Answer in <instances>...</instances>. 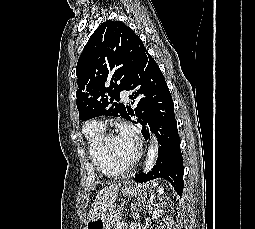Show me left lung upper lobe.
Listing matches in <instances>:
<instances>
[{
	"instance_id": "left-lung-upper-lobe-1",
	"label": "left lung upper lobe",
	"mask_w": 255,
	"mask_h": 229,
	"mask_svg": "<svg viewBox=\"0 0 255 229\" xmlns=\"http://www.w3.org/2000/svg\"><path fill=\"white\" fill-rule=\"evenodd\" d=\"M145 50L141 39L120 21L107 20L95 30L76 67L80 120L102 115L127 118L125 106L118 103L119 93Z\"/></svg>"
}]
</instances>
